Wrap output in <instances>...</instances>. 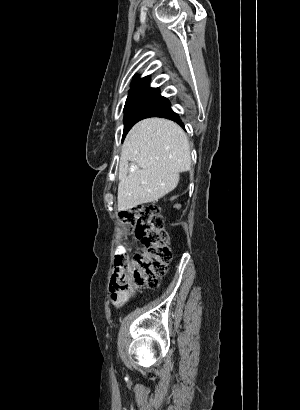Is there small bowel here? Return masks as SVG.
Masks as SVG:
<instances>
[{
	"instance_id": "1",
	"label": "small bowel",
	"mask_w": 300,
	"mask_h": 410,
	"mask_svg": "<svg viewBox=\"0 0 300 410\" xmlns=\"http://www.w3.org/2000/svg\"><path fill=\"white\" fill-rule=\"evenodd\" d=\"M118 254H122L125 252V248L123 246L117 247ZM134 294L133 292H112L110 295L111 304L115 309L123 308L132 298Z\"/></svg>"
}]
</instances>
